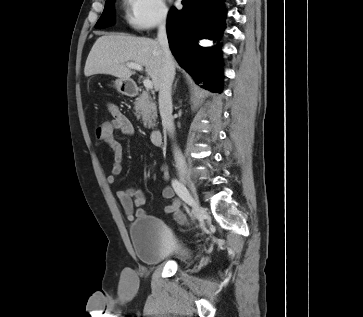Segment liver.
<instances>
[{
    "label": "liver",
    "instance_id": "obj_1",
    "mask_svg": "<svg viewBox=\"0 0 363 317\" xmlns=\"http://www.w3.org/2000/svg\"><path fill=\"white\" fill-rule=\"evenodd\" d=\"M127 63L144 66L155 90L159 89L162 51L158 41L150 38L124 34L99 37L87 57L84 74L86 77L108 74L129 80L135 72L126 66Z\"/></svg>",
    "mask_w": 363,
    "mask_h": 317
}]
</instances>
